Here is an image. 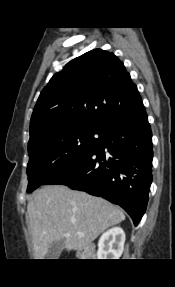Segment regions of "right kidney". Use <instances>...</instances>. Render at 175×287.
I'll return each mask as SVG.
<instances>
[{
    "label": "right kidney",
    "mask_w": 175,
    "mask_h": 287,
    "mask_svg": "<svg viewBox=\"0 0 175 287\" xmlns=\"http://www.w3.org/2000/svg\"><path fill=\"white\" fill-rule=\"evenodd\" d=\"M125 243V233L122 228L114 227L102 234L98 242V259H119Z\"/></svg>",
    "instance_id": "1"
}]
</instances>
